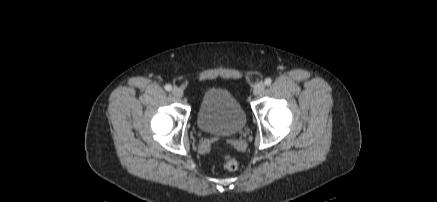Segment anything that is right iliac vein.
<instances>
[{
  "mask_svg": "<svg viewBox=\"0 0 437 202\" xmlns=\"http://www.w3.org/2000/svg\"><path fill=\"white\" fill-rule=\"evenodd\" d=\"M172 94L176 97V98H181L183 96V90L179 87H174L172 89Z\"/></svg>",
  "mask_w": 437,
  "mask_h": 202,
  "instance_id": "1",
  "label": "right iliac vein"
}]
</instances>
